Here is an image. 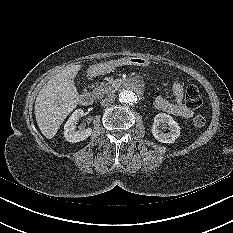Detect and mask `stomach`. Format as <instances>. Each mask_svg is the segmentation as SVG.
<instances>
[{
    "instance_id": "1",
    "label": "stomach",
    "mask_w": 233,
    "mask_h": 233,
    "mask_svg": "<svg viewBox=\"0 0 233 233\" xmlns=\"http://www.w3.org/2000/svg\"><path fill=\"white\" fill-rule=\"evenodd\" d=\"M149 60L143 57L129 56L127 58L107 60L103 64H97L89 68V73L93 76L118 71H128L138 66H148Z\"/></svg>"
}]
</instances>
